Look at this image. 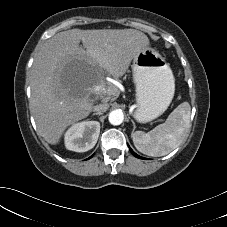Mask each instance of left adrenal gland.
Masks as SVG:
<instances>
[{"instance_id": "obj_1", "label": "left adrenal gland", "mask_w": 227, "mask_h": 227, "mask_svg": "<svg viewBox=\"0 0 227 227\" xmlns=\"http://www.w3.org/2000/svg\"><path fill=\"white\" fill-rule=\"evenodd\" d=\"M132 123H133V126H134V128H135V123L132 121Z\"/></svg>"}]
</instances>
